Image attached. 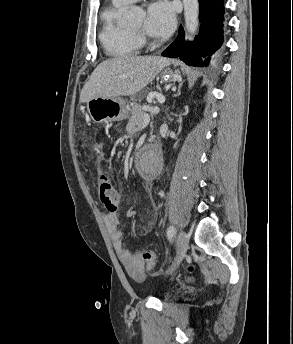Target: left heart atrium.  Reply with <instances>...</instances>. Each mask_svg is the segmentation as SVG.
Segmentation results:
<instances>
[{
  "label": "left heart atrium",
  "mask_w": 293,
  "mask_h": 344,
  "mask_svg": "<svg viewBox=\"0 0 293 344\" xmlns=\"http://www.w3.org/2000/svg\"><path fill=\"white\" fill-rule=\"evenodd\" d=\"M175 14L172 6L166 1L149 5L144 21V31L154 38H166L175 28Z\"/></svg>",
  "instance_id": "1"
}]
</instances>
